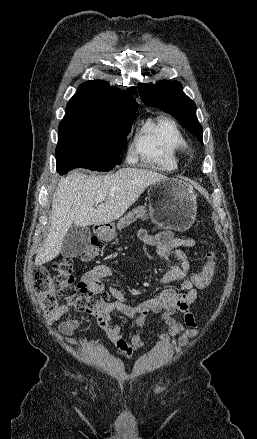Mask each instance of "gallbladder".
<instances>
[{
    "mask_svg": "<svg viewBox=\"0 0 257 439\" xmlns=\"http://www.w3.org/2000/svg\"><path fill=\"white\" fill-rule=\"evenodd\" d=\"M91 231L88 227L73 225L64 237L61 254L65 257H77L89 245Z\"/></svg>",
    "mask_w": 257,
    "mask_h": 439,
    "instance_id": "gallbladder-1",
    "label": "gallbladder"
}]
</instances>
